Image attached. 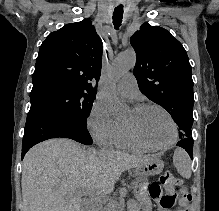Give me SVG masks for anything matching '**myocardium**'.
Instances as JSON below:
<instances>
[{"label":"myocardium","mask_w":219,"mask_h":211,"mask_svg":"<svg viewBox=\"0 0 219 211\" xmlns=\"http://www.w3.org/2000/svg\"><path fill=\"white\" fill-rule=\"evenodd\" d=\"M147 107H154L159 109L160 111H162L169 119L171 126H172V131H173V135H172V139L169 143L165 144V145H152L148 142H146L136 131L135 129L127 122H124V127L126 129L127 134L129 135V137L139 146L146 148V149H150V150H166L169 149L170 147H172L178 138V128H177V124L172 116V114L162 105L157 104V103H153V102H143V103H139L136 104L132 107L133 110H141Z\"/></svg>","instance_id":"1"}]
</instances>
